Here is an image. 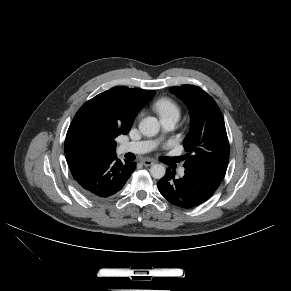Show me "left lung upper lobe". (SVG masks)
Masks as SVG:
<instances>
[{
	"mask_svg": "<svg viewBox=\"0 0 291 291\" xmlns=\"http://www.w3.org/2000/svg\"><path fill=\"white\" fill-rule=\"evenodd\" d=\"M171 92L189 107L191 129L183 141L184 166H194L224 177L229 161V142L224 118L206 92L194 85L172 87Z\"/></svg>",
	"mask_w": 291,
	"mask_h": 291,
	"instance_id": "obj_1",
	"label": "left lung upper lobe"
}]
</instances>
